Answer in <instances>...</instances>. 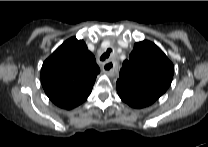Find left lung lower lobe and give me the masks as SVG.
I'll return each mask as SVG.
<instances>
[{
	"label": "left lung lower lobe",
	"instance_id": "0a47b994",
	"mask_svg": "<svg viewBox=\"0 0 208 147\" xmlns=\"http://www.w3.org/2000/svg\"><path fill=\"white\" fill-rule=\"evenodd\" d=\"M119 97L128 105L134 108H143L149 106L157 99L150 95L129 89L122 85H116Z\"/></svg>",
	"mask_w": 208,
	"mask_h": 147
}]
</instances>
